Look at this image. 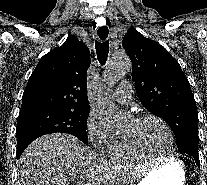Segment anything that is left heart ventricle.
<instances>
[{"label": "left heart ventricle", "instance_id": "left-heart-ventricle-1", "mask_svg": "<svg viewBox=\"0 0 207 185\" xmlns=\"http://www.w3.org/2000/svg\"><path fill=\"white\" fill-rule=\"evenodd\" d=\"M122 132L130 136L137 147L150 154L161 155L169 147L166 130L155 120L135 122L131 119Z\"/></svg>", "mask_w": 207, "mask_h": 185}]
</instances>
